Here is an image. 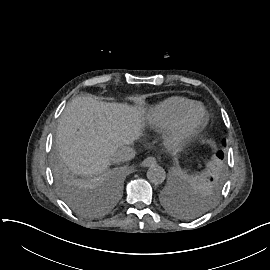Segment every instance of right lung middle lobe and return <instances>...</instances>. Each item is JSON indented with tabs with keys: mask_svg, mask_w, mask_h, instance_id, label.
<instances>
[{
	"mask_svg": "<svg viewBox=\"0 0 270 270\" xmlns=\"http://www.w3.org/2000/svg\"><path fill=\"white\" fill-rule=\"evenodd\" d=\"M55 177L60 196L71 208L84 215H92L94 213L87 206L84 199L76 193L71 180L64 174V172L57 169L55 171Z\"/></svg>",
	"mask_w": 270,
	"mask_h": 270,
	"instance_id": "dd1d6c3e",
	"label": "right lung middle lobe"
}]
</instances>
